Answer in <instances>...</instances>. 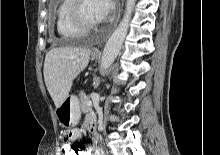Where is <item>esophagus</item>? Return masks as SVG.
Returning <instances> with one entry per match:
<instances>
[{
  "instance_id": "34e87169",
  "label": "esophagus",
  "mask_w": 220,
  "mask_h": 155,
  "mask_svg": "<svg viewBox=\"0 0 220 155\" xmlns=\"http://www.w3.org/2000/svg\"><path fill=\"white\" fill-rule=\"evenodd\" d=\"M123 3H124V0H121L120 10H119V14H118V19H117V21H118L119 18H120V14H121V11H122ZM94 52H99V49H94Z\"/></svg>"
}]
</instances>
